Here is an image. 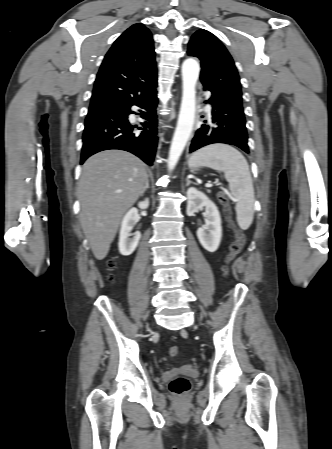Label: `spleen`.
Returning a JSON list of instances; mask_svg holds the SVG:
<instances>
[{
    "instance_id": "1",
    "label": "spleen",
    "mask_w": 332,
    "mask_h": 449,
    "mask_svg": "<svg viewBox=\"0 0 332 449\" xmlns=\"http://www.w3.org/2000/svg\"><path fill=\"white\" fill-rule=\"evenodd\" d=\"M189 167H209L224 173L232 195L236 198L237 222L241 229L250 227L254 218V188L249 165L235 148L213 144L192 154Z\"/></svg>"
}]
</instances>
